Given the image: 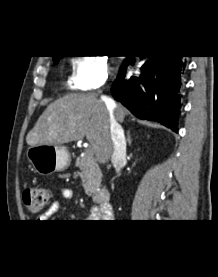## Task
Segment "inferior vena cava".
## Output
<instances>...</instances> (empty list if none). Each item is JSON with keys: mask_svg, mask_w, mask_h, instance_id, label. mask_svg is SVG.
I'll list each match as a JSON object with an SVG mask.
<instances>
[{"mask_svg": "<svg viewBox=\"0 0 218 277\" xmlns=\"http://www.w3.org/2000/svg\"><path fill=\"white\" fill-rule=\"evenodd\" d=\"M102 100L105 101L110 117V132L113 143V152L111 156V163L115 168V171L120 175L121 168L126 164V140L124 131L119 124L120 117L118 114V108L115 102L107 97L101 96Z\"/></svg>", "mask_w": 218, "mask_h": 277, "instance_id": "1", "label": "inferior vena cava"}]
</instances>
